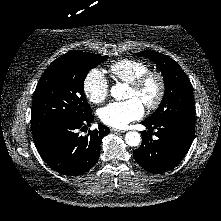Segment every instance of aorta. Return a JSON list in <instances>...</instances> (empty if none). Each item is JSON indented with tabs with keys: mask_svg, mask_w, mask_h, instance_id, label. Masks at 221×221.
Returning <instances> with one entry per match:
<instances>
[{
	"mask_svg": "<svg viewBox=\"0 0 221 221\" xmlns=\"http://www.w3.org/2000/svg\"><path fill=\"white\" fill-rule=\"evenodd\" d=\"M127 90V85L123 83H118L111 87V96L116 100H123L125 99V92ZM126 143L131 147H136L141 142V136L136 131H129L125 135Z\"/></svg>",
	"mask_w": 221,
	"mask_h": 221,
	"instance_id": "762f6f07",
	"label": "aorta"
}]
</instances>
